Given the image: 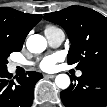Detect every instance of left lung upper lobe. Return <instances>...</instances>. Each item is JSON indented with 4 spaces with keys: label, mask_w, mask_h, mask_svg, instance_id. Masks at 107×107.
I'll list each match as a JSON object with an SVG mask.
<instances>
[{
    "label": "left lung upper lobe",
    "mask_w": 107,
    "mask_h": 107,
    "mask_svg": "<svg viewBox=\"0 0 107 107\" xmlns=\"http://www.w3.org/2000/svg\"><path fill=\"white\" fill-rule=\"evenodd\" d=\"M44 19L62 26L68 34L71 47L68 63L83 70L107 71V18L82 6H70L47 13Z\"/></svg>",
    "instance_id": "1"
}]
</instances>
